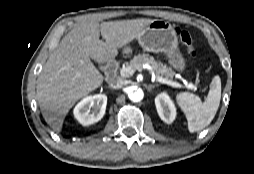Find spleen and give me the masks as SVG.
<instances>
[{
  "instance_id": "3e777b00",
  "label": "spleen",
  "mask_w": 254,
  "mask_h": 174,
  "mask_svg": "<svg viewBox=\"0 0 254 174\" xmlns=\"http://www.w3.org/2000/svg\"><path fill=\"white\" fill-rule=\"evenodd\" d=\"M221 99V81L215 76L211 82L207 100L202 103L201 99L189 92H181L176 96V101L184 112L188 129L191 133L204 129L216 115Z\"/></svg>"
}]
</instances>
